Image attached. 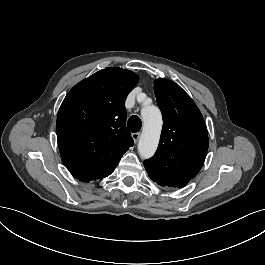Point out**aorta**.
<instances>
[{"mask_svg": "<svg viewBox=\"0 0 265 265\" xmlns=\"http://www.w3.org/2000/svg\"><path fill=\"white\" fill-rule=\"evenodd\" d=\"M143 129L141 132L138 150L140 154L148 158L157 149L161 131V113L154 106L145 107L142 110Z\"/></svg>", "mask_w": 265, "mask_h": 265, "instance_id": "1", "label": "aorta"}]
</instances>
